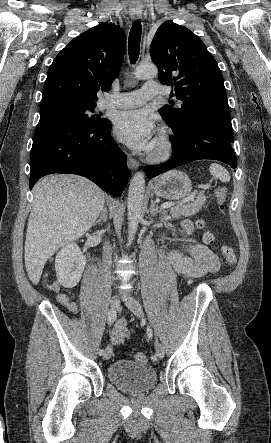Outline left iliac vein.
<instances>
[{
	"instance_id": "left-iliac-vein-1",
	"label": "left iliac vein",
	"mask_w": 271,
	"mask_h": 443,
	"mask_svg": "<svg viewBox=\"0 0 271 443\" xmlns=\"http://www.w3.org/2000/svg\"><path fill=\"white\" fill-rule=\"evenodd\" d=\"M125 305L136 317H138V318L143 317L142 306L135 298L129 297V298L125 299ZM155 348H156L157 356L160 359H163L164 358V349H163L162 345L160 343H157Z\"/></svg>"
}]
</instances>
